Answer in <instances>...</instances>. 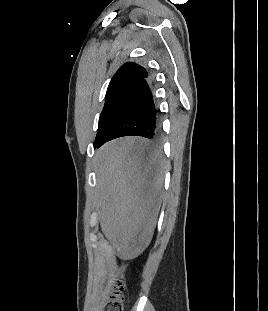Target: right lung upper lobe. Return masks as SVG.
<instances>
[{"label": "right lung upper lobe", "instance_id": "1", "mask_svg": "<svg viewBox=\"0 0 268 311\" xmlns=\"http://www.w3.org/2000/svg\"><path fill=\"white\" fill-rule=\"evenodd\" d=\"M147 75V71L143 67L135 63H125L111 79L106 94L124 86L137 85Z\"/></svg>", "mask_w": 268, "mask_h": 311}]
</instances>
